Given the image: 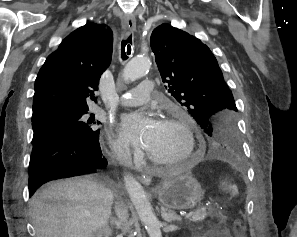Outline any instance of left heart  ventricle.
Segmentation results:
<instances>
[{
	"mask_svg": "<svg viewBox=\"0 0 297 237\" xmlns=\"http://www.w3.org/2000/svg\"><path fill=\"white\" fill-rule=\"evenodd\" d=\"M186 138L175 125L160 122L156 136L147 151L159 159H173L183 154Z\"/></svg>",
	"mask_w": 297,
	"mask_h": 237,
	"instance_id": "left-heart-ventricle-1",
	"label": "left heart ventricle"
}]
</instances>
